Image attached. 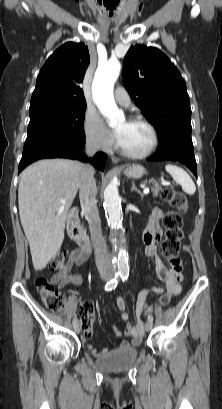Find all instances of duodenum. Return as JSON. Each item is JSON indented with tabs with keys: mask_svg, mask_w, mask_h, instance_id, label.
<instances>
[{
	"mask_svg": "<svg viewBox=\"0 0 222 409\" xmlns=\"http://www.w3.org/2000/svg\"><path fill=\"white\" fill-rule=\"evenodd\" d=\"M67 232L71 240L84 252L88 253L90 250V240L88 235L83 230L79 218H78V209L76 207L72 208L68 223H67Z\"/></svg>",
	"mask_w": 222,
	"mask_h": 409,
	"instance_id": "duodenum-1",
	"label": "duodenum"
}]
</instances>
